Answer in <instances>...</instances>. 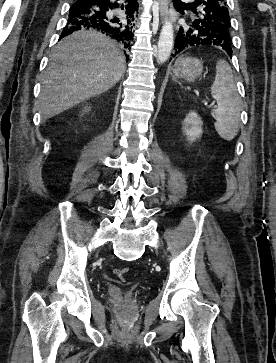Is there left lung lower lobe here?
I'll return each mask as SVG.
<instances>
[{
	"mask_svg": "<svg viewBox=\"0 0 276 363\" xmlns=\"http://www.w3.org/2000/svg\"><path fill=\"white\" fill-rule=\"evenodd\" d=\"M208 24H203V27H198L195 24H191L188 31L183 30L181 27L177 33V37L174 45V53L171 54V59L183 50H187L193 46L200 45H217L221 41L216 42V38L213 32L208 29ZM220 46L232 57V48L226 43L221 42Z\"/></svg>",
	"mask_w": 276,
	"mask_h": 363,
	"instance_id": "left-lung-lower-lobe-1",
	"label": "left lung lower lobe"
}]
</instances>
